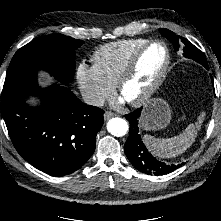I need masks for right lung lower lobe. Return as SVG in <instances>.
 <instances>
[{"mask_svg": "<svg viewBox=\"0 0 221 221\" xmlns=\"http://www.w3.org/2000/svg\"><path fill=\"white\" fill-rule=\"evenodd\" d=\"M40 95L30 108L25 99ZM3 117L18 153L35 168L55 176L80 169L91 157L104 111L82 103L68 88L54 84L2 93Z\"/></svg>", "mask_w": 221, "mask_h": 221, "instance_id": "1", "label": "right lung lower lobe"}]
</instances>
